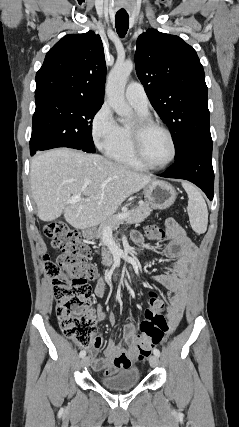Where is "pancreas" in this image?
Listing matches in <instances>:
<instances>
[{
    "label": "pancreas",
    "mask_w": 239,
    "mask_h": 427,
    "mask_svg": "<svg viewBox=\"0 0 239 427\" xmlns=\"http://www.w3.org/2000/svg\"><path fill=\"white\" fill-rule=\"evenodd\" d=\"M151 211H152V208H151L150 204L147 202L141 201V202H139L138 207H136L130 211L124 212V213H128V216L125 219L118 220L116 218L117 215H115V216H112L111 218H109L108 220H106L100 224V226L97 230L96 237L100 239V245L102 246V258H103L102 263L104 265H111L113 263L111 253L105 247V244L103 241L105 228L107 226H109L112 230H115L120 224H123L124 222H126L128 224L141 223L150 215ZM121 214H123V213H121Z\"/></svg>",
    "instance_id": "cf45deb5"
}]
</instances>
